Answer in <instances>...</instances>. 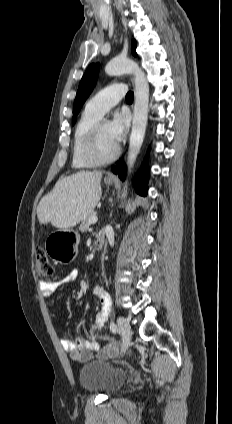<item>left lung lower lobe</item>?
<instances>
[{
    "label": "left lung lower lobe",
    "instance_id": "1",
    "mask_svg": "<svg viewBox=\"0 0 232 424\" xmlns=\"http://www.w3.org/2000/svg\"><path fill=\"white\" fill-rule=\"evenodd\" d=\"M113 172L115 174H118V176L121 180L125 179L126 166H125L123 160H121L117 164V166L114 167ZM148 176H149V170H148L146 164H144L143 167L138 172L136 179H135V189H136L137 193L142 195V196H146L147 192H148V189H147Z\"/></svg>",
    "mask_w": 232,
    "mask_h": 424
}]
</instances>
